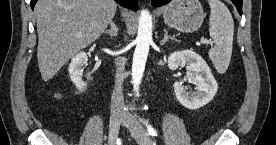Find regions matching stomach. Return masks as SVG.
<instances>
[{
  "mask_svg": "<svg viewBox=\"0 0 276 145\" xmlns=\"http://www.w3.org/2000/svg\"><path fill=\"white\" fill-rule=\"evenodd\" d=\"M164 22L181 32H194L204 20L203 7L199 0H173L163 11Z\"/></svg>",
  "mask_w": 276,
  "mask_h": 145,
  "instance_id": "0dacf381",
  "label": "stomach"
}]
</instances>
